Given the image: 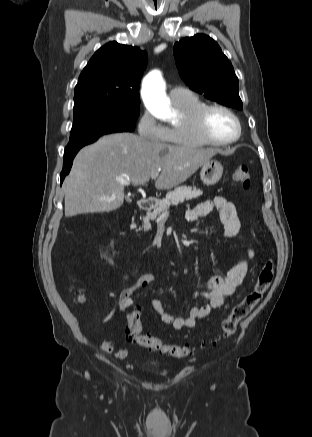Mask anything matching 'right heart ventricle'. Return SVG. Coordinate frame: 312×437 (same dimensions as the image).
Returning <instances> with one entry per match:
<instances>
[{
    "mask_svg": "<svg viewBox=\"0 0 312 437\" xmlns=\"http://www.w3.org/2000/svg\"><path fill=\"white\" fill-rule=\"evenodd\" d=\"M173 103L181 112L182 118L180 122L167 127V136L164 142L184 148H196L205 145L195 136L189 124L191 115L205 104L194 94Z\"/></svg>",
    "mask_w": 312,
    "mask_h": 437,
    "instance_id": "e07e8e85",
    "label": "right heart ventricle"
}]
</instances>
